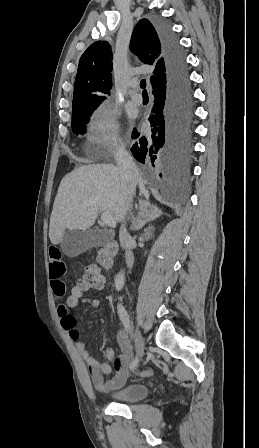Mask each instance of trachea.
I'll return each instance as SVG.
<instances>
[{"mask_svg": "<svg viewBox=\"0 0 259 448\" xmlns=\"http://www.w3.org/2000/svg\"><path fill=\"white\" fill-rule=\"evenodd\" d=\"M140 87L142 88V95H147V90H146V80H141L140 81Z\"/></svg>", "mask_w": 259, "mask_h": 448, "instance_id": "trachea-1", "label": "trachea"}]
</instances>
